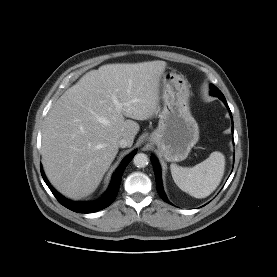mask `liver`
I'll return each instance as SVG.
<instances>
[{"label": "liver", "instance_id": "liver-1", "mask_svg": "<svg viewBox=\"0 0 277 277\" xmlns=\"http://www.w3.org/2000/svg\"><path fill=\"white\" fill-rule=\"evenodd\" d=\"M165 61L107 64L87 72L50 109L42 135V164L63 195L93 193L115 159L118 141L132 146L139 124L158 110ZM116 98L121 104L117 107Z\"/></svg>", "mask_w": 277, "mask_h": 277}]
</instances>
